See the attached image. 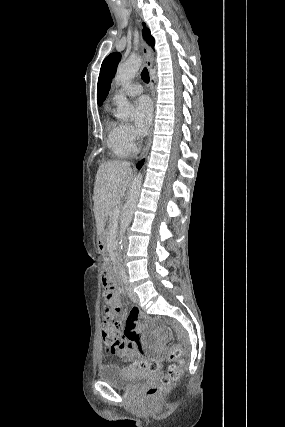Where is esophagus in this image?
I'll use <instances>...</instances> for the list:
<instances>
[{
  "instance_id": "esophagus-1",
  "label": "esophagus",
  "mask_w": 285,
  "mask_h": 427,
  "mask_svg": "<svg viewBox=\"0 0 285 427\" xmlns=\"http://www.w3.org/2000/svg\"><path fill=\"white\" fill-rule=\"evenodd\" d=\"M141 47H142V54H143L144 61H145V66L149 70H151L153 67V58H152L151 49H150L149 45L143 39H141ZM152 97H153V103H154V109H155V92H154L153 86H152ZM153 126H154V122L152 123L151 133H150V136L148 138L147 145L144 148V150L142 151V153L140 154V156L138 157L139 160L143 159L149 151L150 144H151Z\"/></svg>"
}]
</instances>
